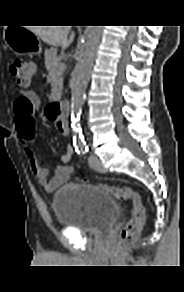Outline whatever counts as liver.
<instances>
[{"instance_id": "1", "label": "liver", "mask_w": 184, "mask_h": 292, "mask_svg": "<svg viewBox=\"0 0 184 292\" xmlns=\"http://www.w3.org/2000/svg\"><path fill=\"white\" fill-rule=\"evenodd\" d=\"M71 26H35L29 28L36 36L51 46H62L66 49L74 40L72 32L68 39Z\"/></svg>"}]
</instances>
